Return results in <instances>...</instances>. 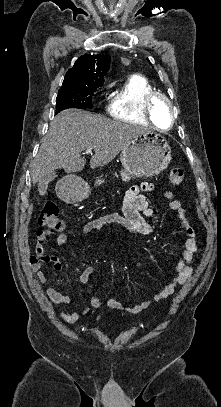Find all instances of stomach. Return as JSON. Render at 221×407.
I'll return each mask as SVG.
<instances>
[{
  "label": "stomach",
  "mask_w": 221,
  "mask_h": 407,
  "mask_svg": "<svg viewBox=\"0 0 221 407\" xmlns=\"http://www.w3.org/2000/svg\"><path fill=\"white\" fill-rule=\"evenodd\" d=\"M171 160L169 143L159 133L147 131L132 139L121 151L120 172L124 181L131 178L152 177L164 171ZM104 183L98 179L96 185ZM90 186L82 178L68 177L60 188L59 195L68 203L85 200L90 195Z\"/></svg>",
  "instance_id": "stomach-1"
}]
</instances>
